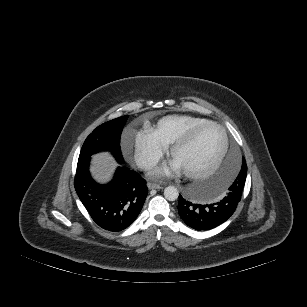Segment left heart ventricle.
<instances>
[{"label": "left heart ventricle", "instance_id": "obj_1", "mask_svg": "<svg viewBox=\"0 0 307 307\" xmlns=\"http://www.w3.org/2000/svg\"><path fill=\"white\" fill-rule=\"evenodd\" d=\"M223 143L220 130L214 126L202 129L195 138L173 156L174 163L184 171H199L209 167Z\"/></svg>", "mask_w": 307, "mask_h": 307}]
</instances>
